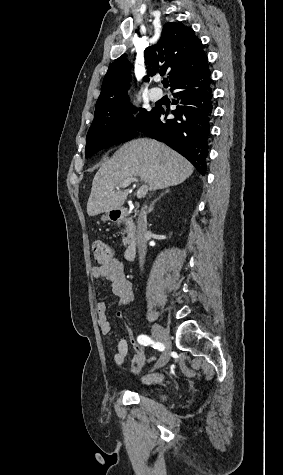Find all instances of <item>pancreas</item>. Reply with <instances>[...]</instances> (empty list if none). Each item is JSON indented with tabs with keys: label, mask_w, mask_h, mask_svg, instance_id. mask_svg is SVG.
<instances>
[{
	"label": "pancreas",
	"mask_w": 283,
	"mask_h": 475,
	"mask_svg": "<svg viewBox=\"0 0 283 475\" xmlns=\"http://www.w3.org/2000/svg\"><path fill=\"white\" fill-rule=\"evenodd\" d=\"M126 238H122V241L125 245V247H127L128 243H131L132 239H134V232H131V230H126Z\"/></svg>",
	"instance_id": "cf45deb5"
}]
</instances>
